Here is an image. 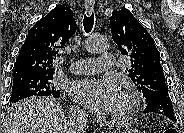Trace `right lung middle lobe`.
Instances as JSON below:
<instances>
[{
    "mask_svg": "<svg viewBox=\"0 0 184 133\" xmlns=\"http://www.w3.org/2000/svg\"><path fill=\"white\" fill-rule=\"evenodd\" d=\"M53 76L23 75L14 77L10 105L30 96H60L52 83Z\"/></svg>",
    "mask_w": 184,
    "mask_h": 133,
    "instance_id": "dd1d6c3e",
    "label": "right lung middle lobe"
}]
</instances>
